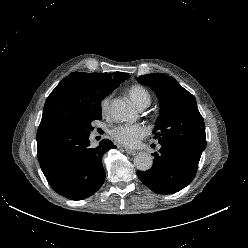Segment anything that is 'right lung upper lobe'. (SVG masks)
Listing matches in <instances>:
<instances>
[{
    "instance_id": "obj_1",
    "label": "right lung upper lobe",
    "mask_w": 248,
    "mask_h": 248,
    "mask_svg": "<svg viewBox=\"0 0 248 248\" xmlns=\"http://www.w3.org/2000/svg\"><path fill=\"white\" fill-rule=\"evenodd\" d=\"M127 78L129 75L122 72L69 74L45 102L37 139L51 134L66 121L82 116L101 104V101Z\"/></svg>"
}]
</instances>
